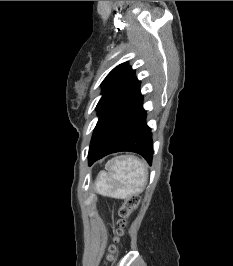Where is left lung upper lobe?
<instances>
[{
    "label": "left lung upper lobe",
    "instance_id": "5c2ea615",
    "mask_svg": "<svg viewBox=\"0 0 233 266\" xmlns=\"http://www.w3.org/2000/svg\"><path fill=\"white\" fill-rule=\"evenodd\" d=\"M136 80L135 71L128 63L115 67L102 82V97L96 107L99 117L107 106Z\"/></svg>",
    "mask_w": 233,
    "mask_h": 266
}]
</instances>
